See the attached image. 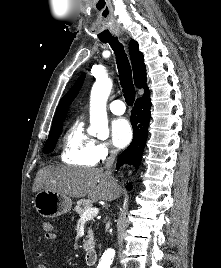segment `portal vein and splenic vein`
I'll return each instance as SVG.
<instances>
[{"mask_svg":"<svg viewBox=\"0 0 221 268\" xmlns=\"http://www.w3.org/2000/svg\"><path fill=\"white\" fill-rule=\"evenodd\" d=\"M98 212H99V209L96 207L86 209L83 212L81 218L86 219V220L92 219L93 217H95L98 214Z\"/></svg>","mask_w":221,"mask_h":268,"instance_id":"1","label":"portal vein and splenic vein"}]
</instances>
